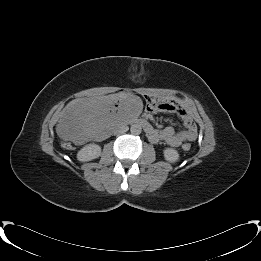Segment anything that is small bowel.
<instances>
[{
	"instance_id": "c3829d8e",
	"label": "small bowel",
	"mask_w": 261,
	"mask_h": 261,
	"mask_svg": "<svg viewBox=\"0 0 261 261\" xmlns=\"http://www.w3.org/2000/svg\"><path fill=\"white\" fill-rule=\"evenodd\" d=\"M148 104L151 112L159 111L176 114L186 128L184 131H176L171 126L163 129L152 128V131L148 133L152 142L164 141L170 146L177 147L186 141L193 142L196 140L197 125L192 114L184 104L171 98L159 96H149Z\"/></svg>"
}]
</instances>
